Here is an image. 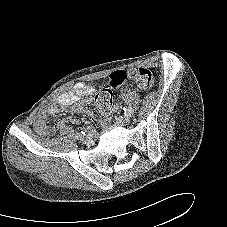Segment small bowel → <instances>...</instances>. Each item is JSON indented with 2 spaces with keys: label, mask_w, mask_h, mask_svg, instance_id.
Wrapping results in <instances>:
<instances>
[{
  "label": "small bowel",
  "mask_w": 227,
  "mask_h": 227,
  "mask_svg": "<svg viewBox=\"0 0 227 227\" xmlns=\"http://www.w3.org/2000/svg\"><path fill=\"white\" fill-rule=\"evenodd\" d=\"M95 91V87L89 83H78L71 91L60 94L55 102L48 104L37 116L35 121V128L41 135H47L49 133L48 118L49 116L56 115L60 108H68L73 113L83 112L85 104L88 102V96ZM117 109L116 105L110 107L105 112L109 113ZM89 113V112H87ZM71 122L77 124L76 119H70ZM67 121H59L57 127H62Z\"/></svg>",
  "instance_id": "obj_1"
}]
</instances>
